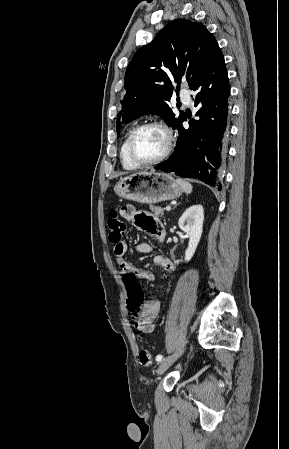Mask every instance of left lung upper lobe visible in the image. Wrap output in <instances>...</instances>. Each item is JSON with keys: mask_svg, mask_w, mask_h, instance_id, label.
Listing matches in <instances>:
<instances>
[{"mask_svg": "<svg viewBox=\"0 0 289 449\" xmlns=\"http://www.w3.org/2000/svg\"><path fill=\"white\" fill-rule=\"evenodd\" d=\"M217 47L204 25L185 19L172 21L151 43L141 47L125 73L126 94L117 115V134L122 122L128 123L147 111L160 113L174 129L184 114L177 117L171 110L173 83L179 86L184 77L190 86Z\"/></svg>", "mask_w": 289, "mask_h": 449, "instance_id": "left-lung-upper-lobe-1", "label": "left lung upper lobe"}]
</instances>
